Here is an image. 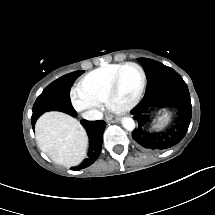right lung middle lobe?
Returning <instances> with one entry per match:
<instances>
[{"label": "right lung middle lobe", "mask_w": 215, "mask_h": 215, "mask_svg": "<svg viewBox=\"0 0 215 215\" xmlns=\"http://www.w3.org/2000/svg\"><path fill=\"white\" fill-rule=\"evenodd\" d=\"M83 71H76L49 84L37 98L33 106L32 120L38 119L46 111L59 110L70 115H76L70 101V89L75 79Z\"/></svg>", "instance_id": "1"}]
</instances>
